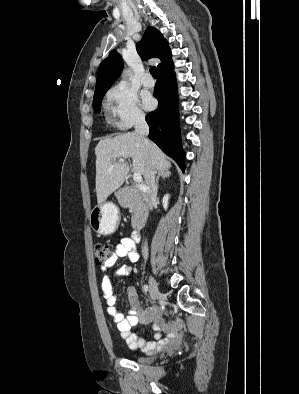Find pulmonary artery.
<instances>
[{
  "mask_svg": "<svg viewBox=\"0 0 299 394\" xmlns=\"http://www.w3.org/2000/svg\"><path fill=\"white\" fill-rule=\"evenodd\" d=\"M141 82H142L143 86L148 87V88L154 86V80L149 73L144 74Z\"/></svg>",
  "mask_w": 299,
  "mask_h": 394,
  "instance_id": "1",
  "label": "pulmonary artery"
}]
</instances>
